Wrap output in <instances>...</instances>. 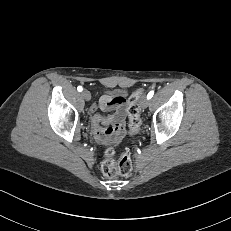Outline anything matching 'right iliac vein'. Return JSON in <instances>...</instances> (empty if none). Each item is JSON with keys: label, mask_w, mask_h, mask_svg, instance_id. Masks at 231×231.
<instances>
[{"label": "right iliac vein", "mask_w": 231, "mask_h": 231, "mask_svg": "<svg viewBox=\"0 0 231 231\" xmlns=\"http://www.w3.org/2000/svg\"><path fill=\"white\" fill-rule=\"evenodd\" d=\"M81 95L86 101H89L91 99V94L88 90H83Z\"/></svg>", "instance_id": "63e3f726"}]
</instances>
